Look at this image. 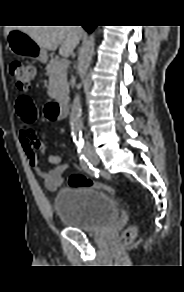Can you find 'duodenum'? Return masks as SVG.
<instances>
[{"label": "duodenum", "mask_w": 184, "mask_h": 292, "mask_svg": "<svg viewBox=\"0 0 184 292\" xmlns=\"http://www.w3.org/2000/svg\"><path fill=\"white\" fill-rule=\"evenodd\" d=\"M46 111L52 119L62 118L68 113L67 102L65 100L53 101L48 105Z\"/></svg>", "instance_id": "410a0bca"}]
</instances>
